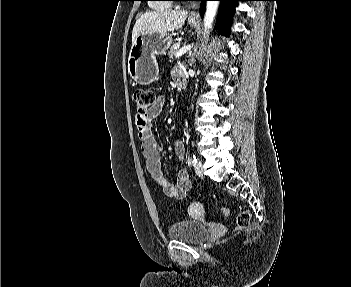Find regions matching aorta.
Listing matches in <instances>:
<instances>
[{"instance_id":"obj_1","label":"aorta","mask_w":351,"mask_h":287,"mask_svg":"<svg viewBox=\"0 0 351 287\" xmlns=\"http://www.w3.org/2000/svg\"><path fill=\"white\" fill-rule=\"evenodd\" d=\"M219 6V1H207L206 2V11L203 19L204 27V38L206 39L210 34V29L212 28L214 18L217 13Z\"/></svg>"}]
</instances>
